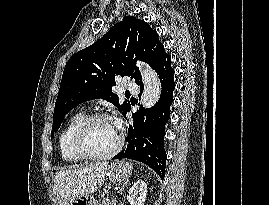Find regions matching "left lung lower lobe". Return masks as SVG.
I'll return each instance as SVG.
<instances>
[{
  "mask_svg": "<svg viewBox=\"0 0 269 205\" xmlns=\"http://www.w3.org/2000/svg\"><path fill=\"white\" fill-rule=\"evenodd\" d=\"M161 82L162 92L158 102L149 109L140 108L132 114L133 123L128 127L127 148L113 159H133L151 167L161 179L165 176L166 152L164 149L165 124L170 118V106L175 89L174 69L171 57L167 54L156 69ZM141 96L143 84L140 85ZM123 114L126 117V113Z\"/></svg>",
  "mask_w": 269,
  "mask_h": 205,
  "instance_id": "obj_1",
  "label": "left lung lower lobe"
}]
</instances>
